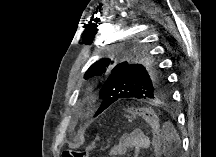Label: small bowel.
<instances>
[{"label":"small bowel","instance_id":"1","mask_svg":"<svg viewBox=\"0 0 216 157\" xmlns=\"http://www.w3.org/2000/svg\"><path fill=\"white\" fill-rule=\"evenodd\" d=\"M150 146L149 137L140 130L123 134L118 145L110 151L111 156H137Z\"/></svg>","mask_w":216,"mask_h":157}]
</instances>
